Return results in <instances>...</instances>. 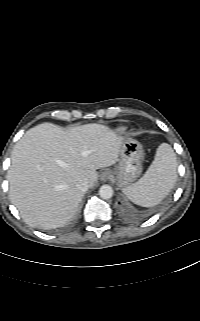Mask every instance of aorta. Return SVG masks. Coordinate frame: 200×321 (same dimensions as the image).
Returning <instances> with one entry per match:
<instances>
[{"mask_svg": "<svg viewBox=\"0 0 200 321\" xmlns=\"http://www.w3.org/2000/svg\"><path fill=\"white\" fill-rule=\"evenodd\" d=\"M113 193H114V191H113L112 187L109 185H103L99 189L100 197L105 200L110 199L113 196Z\"/></svg>", "mask_w": 200, "mask_h": 321, "instance_id": "1", "label": "aorta"}]
</instances>
